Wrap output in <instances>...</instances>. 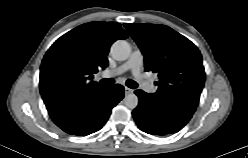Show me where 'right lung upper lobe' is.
I'll return each mask as SVG.
<instances>
[{
    "mask_svg": "<svg viewBox=\"0 0 248 158\" xmlns=\"http://www.w3.org/2000/svg\"><path fill=\"white\" fill-rule=\"evenodd\" d=\"M127 33L116 22H89L61 36L45 54L39 88L46 108L52 109L81 99L101 88L92 80L106 68L110 46Z\"/></svg>",
    "mask_w": 248,
    "mask_h": 158,
    "instance_id": "1",
    "label": "right lung upper lobe"
}]
</instances>
